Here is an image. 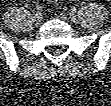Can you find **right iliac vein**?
Masks as SVG:
<instances>
[{"label": "right iliac vein", "instance_id": "1", "mask_svg": "<svg viewBox=\"0 0 111 106\" xmlns=\"http://www.w3.org/2000/svg\"><path fill=\"white\" fill-rule=\"evenodd\" d=\"M42 19H43V15L40 12H37L33 17L34 22L37 24H39L42 21Z\"/></svg>", "mask_w": 111, "mask_h": 106}]
</instances>
